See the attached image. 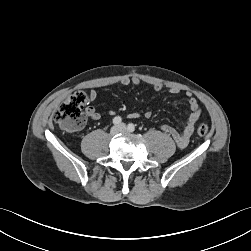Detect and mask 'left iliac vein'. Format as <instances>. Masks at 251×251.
I'll list each match as a JSON object with an SVG mask.
<instances>
[{
	"label": "left iliac vein",
	"mask_w": 251,
	"mask_h": 251,
	"mask_svg": "<svg viewBox=\"0 0 251 251\" xmlns=\"http://www.w3.org/2000/svg\"><path fill=\"white\" fill-rule=\"evenodd\" d=\"M121 132H128V128L125 126V124H121L120 126Z\"/></svg>",
	"instance_id": "obj_1"
}]
</instances>
